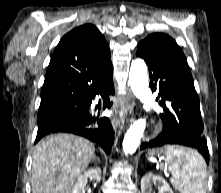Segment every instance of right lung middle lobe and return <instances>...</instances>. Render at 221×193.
Masks as SVG:
<instances>
[{
    "mask_svg": "<svg viewBox=\"0 0 221 193\" xmlns=\"http://www.w3.org/2000/svg\"><path fill=\"white\" fill-rule=\"evenodd\" d=\"M86 109L84 99H57L41 102L38 112V129L69 121Z\"/></svg>",
    "mask_w": 221,
    "mask_h": 193,
    "instance_id": "1",
    "label": "right lung middle lobe"
}]
</instances>
